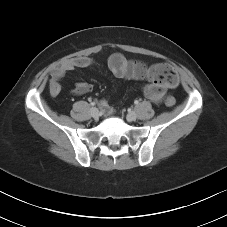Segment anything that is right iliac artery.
Wrapping results in <instances>:
<instances>
[{"label": "right iliac artery", "instance_id": "obj_1", "mask_svg": "<svg viewBox=\"0 0 227 227\" xmlns=\"http://www.w3.org/2000/svg\"><path fill=\"white\" fill-rule=\"evenodd\" d=\"M91 105H92V106H94V105H95V103H94V102H92V103H91Z\"/></svg>", "mask_w": 227, "mask_h": 227}]
</instances>
